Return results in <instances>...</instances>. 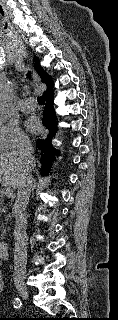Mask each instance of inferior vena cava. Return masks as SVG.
<instances>
[{
    "label": "inferior vena cava",
    "instance_id": "inferior-vena-cava-1",
    "mask_svg": "<svg viewBox=\"0 0 118 320\" xmlns=\"http://www.w3.org/2000/svg\"><path fill=\"white\" fill-rule=\"evenodd\" d=\"M19 158L24 164V169L18 185L17 198L14 203L12 213L15 216L14 228V282H22L25 279L27 264L28 238L26 233L27 220L25 210L29 202L31 190L33 188L32 169L34 165V149L27 138H21L17 147Z\"/></svg>",
    "mask_w": 118,
    "mask_h": 320
}]
</instances>
